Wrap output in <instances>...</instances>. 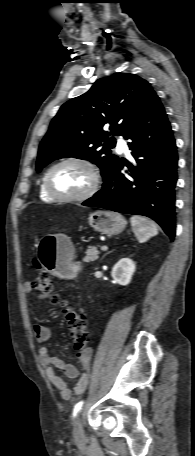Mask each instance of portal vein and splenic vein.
<instances>
[{"label":"portal vein and splenic vein","mask_w":195,"mask_h":456,"mask_svg":"<svg viewBox=\"0 0 195 456\" xmlns=\"http://www.w3.org/2000/svg\"><path fill=\"white\" fill-rule=\"evenodd\" d=\"M101 250H102V251H107V250H108V247H107V246H102V247H101Z\"/></svg>","instance_id":"portal-vein-and-splenic-vein-1"}]
</instances>
